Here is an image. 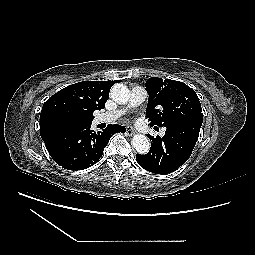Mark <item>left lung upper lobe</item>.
<instances>
[{"label": "left lung upper lobe", "mask_w": 255, "mask_h": 255, "mask_svg": "<svg viewBox=\"0 0 255 255\" xmlns=\"http://www.w3.org/2000/svg\"><path fill=\"white\" fill-rule=\"evenodd\" d=\"M145 86L149 94L146 116L150 125L165 127L203 116L197 94L185 83L151 77Z\"/></svg>", "instance_id": "5c2ea615"}]
</instances>
